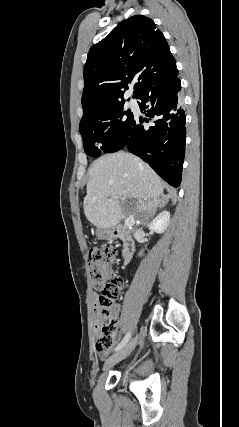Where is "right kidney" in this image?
<instances>
[{
    "mask_svg": "<svg viewBox=\"0 0 239 427\" xmlns=\"http://www.w3.org/2000/svg\"><path fill=\"white\" fill-rule=\"evenodd\" d=\"M169 221L170 213L168 211H162L152 220L148 227L151 231L162 234L166 230Z\"/></svg>",
    "mask_w": 239,
    "mask_h": 427,
    "instance_id": "right-kidney-1",
    "label": "right kidney"
}]
</instances>
